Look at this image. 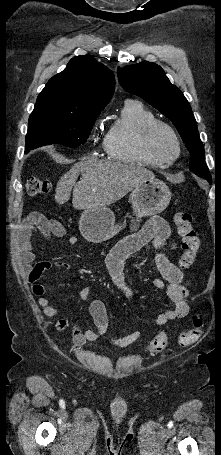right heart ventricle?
I'll return each instance as SVG.
<instances>
[{"instance_id":"1","label":"right heart ventricle","mask_w":221,"mask_h":455,"mask_svg":"<svg viewBox=\"0 0 221 455\" xmlns=\"http://www.w3.org/2000/svg\"><path fill=\"white\" fill-rule=\"evenodd\" d=\"M154 114L135 99H127L119 117L108 127L103 149L113 160L151 167H164L167 162L154 155L145 145L144 130Z\"/></svg>"}]
</instances>
